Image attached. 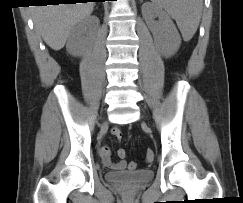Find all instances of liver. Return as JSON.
<instances>
[{"label":"liver","mask_w":243,"mask_h":203,"mask_svg":"<svg viewBox=\"0 0 243 203\" xmlns=\"http://www.w3.org/2000/svg\"><path fill=\"white\" fill-rule=\"evenodd\" d=\"M93 8V2L36 6L33 8L36 31L58 51L64 47L72 28L87 18Z\"/></svg>","instance_id":"1"}]
</instances>
